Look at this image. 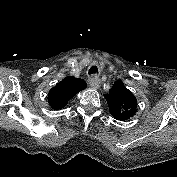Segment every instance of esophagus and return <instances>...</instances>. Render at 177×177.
<instances>
[{"label": "esophagus", "instance_id": "1", "mask_svg": "<svg viewBox=\"0 0 177 177\" xmlns=\"http://www.w3.org/2000/svg\"><path fill=\"white\" fill-rule=\"evenodd\" d=\"M88 83H89L90 87H92L94 89H98L100 86V79L98 78V76L93 75V76L89 77Z\"/></svg>", "mask_w": 177, "mask_h": 177}]
</instances>
